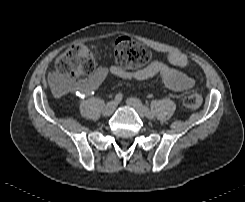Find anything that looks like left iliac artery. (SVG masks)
<instances>
[{
  "label": "left iliac artery",
  "instance_id": "44dca946",
  "mask_svg": "<svg viewBox=\"0 0 245 202\" xmlns=\"http://www.w3.org/2000/svg\"><path fill=\"white\" fill-rule=\"evenodd\" d=\"M144 111H145L146 117L153 118L154 114L152 113V111L148 107L144 106Z\"/></svg>",
  "mask_w": 245,
  "mask_h": 202
}]
</instances>
